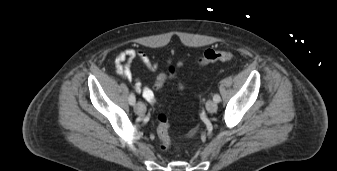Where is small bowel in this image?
<instances>
[{
	"label": "small bowel",
	"mask_w": 337,
	"mask_h": 171,
	"mask_svg": "<svg viewBox=\"0 0 337 171\" xmlns=\"http://www.w3.org/2000/svg\"><path fill=\"white\" fill-rule=\"evenodd\" d=\"M133 61L141 63L149 71H156L158 69V63L153 61L144 51L127 48L121 51L115 60L116 73L128 81H132L133 73L131 70V63ZM171 64L172 60L168 59L167 65L169 66ZM183 64L184 60H180L176 63V66L180 68ZM135 91L138 94H141L142 97L150 103H153L156 100L154 90L151 87L144 86L139 79L135 80Z\"/></svg>",
	"instance_id": "obj_1"
}]
</instances>
